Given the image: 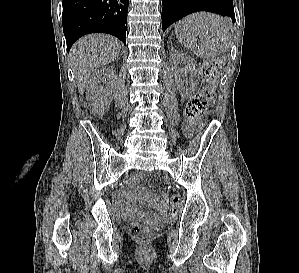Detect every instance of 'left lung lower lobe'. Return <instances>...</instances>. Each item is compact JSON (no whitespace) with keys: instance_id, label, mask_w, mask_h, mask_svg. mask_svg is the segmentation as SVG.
<instances>
[{"instance_id":"0a47b994","label":"left lung lower lobe","mask_w":299,"mask_h":273,"mask_svg":"<svg viewBox=\"0 0 299 273\" xmlns=\"http://www.w3.org/2000/svg\"><path fill=\"white\" fill-rule=\"evenodd\" d=\"M162 30L181 18L198 11L229 16L235 22L233 0H163Z\"/></svg>"}]
</instances>
